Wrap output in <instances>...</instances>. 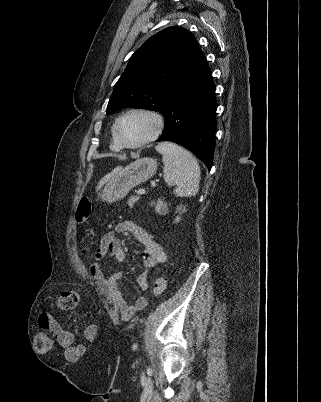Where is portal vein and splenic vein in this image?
I'll return each instance as SVG.
<instances>
[{
    "instance_id": "obj_1",
    "label": "portal vein and splenic vein",
    "mask_w": 321,
    "mask_h": 402,
    "mask_svg": "<svg viewBox=\"0 0 321 402\" xmlns=\"http://www.w3.org/2000/svg\"><path fill=\"white\" fill-rule=\"evenodd\" d=\"M145 189H139L138 191H137V194L138 195H143V194H145Z\"/></svg>"
}]
</instances>
